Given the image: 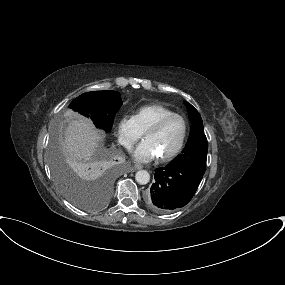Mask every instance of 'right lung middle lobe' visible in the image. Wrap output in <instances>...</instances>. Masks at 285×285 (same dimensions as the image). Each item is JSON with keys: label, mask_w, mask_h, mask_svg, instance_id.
<instances>
[{"label": "right lung middle lobe", "mask_w": 285, "mask_h": 285, "mask_svg": "<svg viewBox=\"0 0 285 285\" xmlns=\"http://www.w3.org/2000/svg\"><path fill=\"white\" fill-rule=\"evenodd\" d=\"M122 105L120 94L116 91H93L84 93L75 98L69 108L78 111L82 115L90 117L97 128L110 131L114 116ZM52 170L55 180L64 196L75 206L84 210H94L101 207L110 196L111 173L108 163L104 167H96V182L99 186V198L90 199L85 192V187L74 176L70 168L59 158L57 144L54 141L51 152Z\"/></svg>", "instance_id": "dd1d6c3e"}]
</instances>
